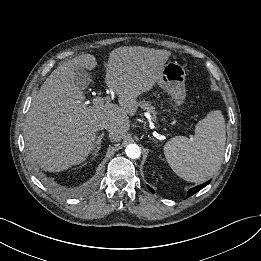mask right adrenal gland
Wrapping results in <instances>:
<instances>
[{
  "instance_id": "1",
  "label": "right adrenal gland",
  "mask_w": 261,
  "mask_h": 261,
  "mask_svg": "<svg viewBox=\"0 0 261 261\" xmlns=\"http://www.w3.org/2000/svg\"><path fill=\"white\" fill-rule=\"evenodd\" d=\"M103 137H104V133H102L101 135H99L97 137V140L95 141V143L93 145V149H92V151H93L92 155H94L92 159H95L96 156L98 155V151L101 149V143H102Z\"/></svg>"
}]
</instances>
